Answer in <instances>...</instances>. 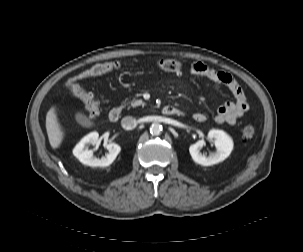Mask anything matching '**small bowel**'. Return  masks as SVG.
<instances>
[{
  "instance_id": "obj_1",
  "label": "small bowel",
  "mask_w": 303,
  "mask_h": 252,
  "mask_svg": "<svg viewBox=\"0 0 303 252\" xmlns=\"http://www.w3.org/2000/svg\"><path fill=\"white\" fill-rule=\"evenodd\" d=\"M189 73L202 76L214 83L224 85L232 94L234 100L222 104L214 115V120L218 123L236 124L246 111V99L240 85L228 74L217 72L204 63H194L189 67ZM193 119L197 122H204L207 117L202 112L193 114Z\"/></svg>"
}]
</instances>
